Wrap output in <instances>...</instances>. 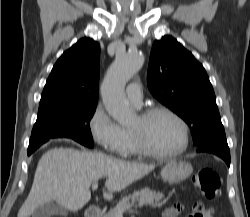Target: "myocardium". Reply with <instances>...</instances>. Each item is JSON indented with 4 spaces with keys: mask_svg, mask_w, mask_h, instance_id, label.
<instances>
[{
    "mask_svg": "<svg viewBox=\"0 0 250 217\" xmlns=\"http://www.w3.org/2000/svg\"><path fill=\"white\" fill-rule=\"evenodd\" d=\"M157 113H165L176 120V122L181 127V131H182L181 145L177 149L170 151V152H165V153L159 152L153 149L139 132L131 130V133L134 137L137 148L141 152V154H144L149 157L157 158V159H169V158L176 157L180 155L181 153H183L189 145L190 133H189L188 124L177 112H175L173 109L164 105H153V106L147 107L140 113L139 117L142 121H146L148 118H150L151 116Z\"/></svg>",
    "mask_w": 250,
    "mask_h": 217,
    "instance_id": "myocardium-1",
    "label": "myocardium"
}]
</instances>
